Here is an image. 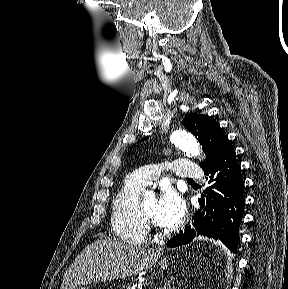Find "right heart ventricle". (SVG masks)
Returning <instances> with one entry per match:
<instances>
[{"label": "right heart ventricle", "instance_id": "1", "mask_svg": "<svg viewBox=\"0 0 288 289\" xmlns=\"http://www.w3.org/2000/svg\"><path fill=\"white\" fill-rule=\"evenodd\" d=\"M144 188L125 180L112 200L111 229L121 242L141 245L146 241L147 230L137 218V204Z\"/></svg>", "mask_w": 288, "mask_h": 289}]
</instances>
